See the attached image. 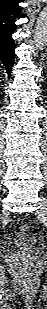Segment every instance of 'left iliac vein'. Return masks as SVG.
<instances>
[{
  "label": "left iliac vein",
  "instance_id": "left-iliac-vein-1",
  "mask_svg": "<svg viewBox=\"0 0 47 309\" xmlns=\"http://www.w3.org/2000/svg\"><path fill=\"white\" fill-rule=\"evenodd\" d=\"M37 215L40 218H45L47 215V209H46V200H43V205L42 207L37 211Z\"/></svg>",
  "mask_w": 47,
  "mask_h": 309
}]
</instances>
